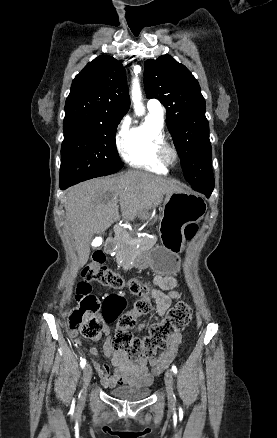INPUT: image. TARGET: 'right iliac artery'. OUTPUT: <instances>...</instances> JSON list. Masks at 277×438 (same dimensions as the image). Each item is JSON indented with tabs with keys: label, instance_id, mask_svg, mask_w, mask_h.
Here are the masks:
<instances>
[{
	"label": "right iliac artery",
	"instance_id": "82829eb1",
	"mask_svg": "<svg viewBox=\"0 0 277 438\" xmlns=\"http://www.w3.org/2000/svg\"><path fill=\"white\" fill-rule=\"evenodd\" d=\"M85 364H86V359L82 358L80 361V366L83 368L85 366Z\"/></svg>",
	"mask_w": 277,
	"mask_h": 438
}]
</instances>
